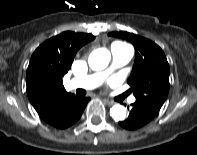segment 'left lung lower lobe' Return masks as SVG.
Returning <instances> with one entry per match:
<instances>
[{"mask_svg": "<svg viewBox=\"0 0 197 155\" xmlns=\"http://www.w3.org/2000/svg\"><path fill=\"white\" fill-rule=\"evenodd\" d=\"M157 114L145 105L135 102L132 104L128 118L125 121L119 122V124L125 129L134 130L150 122Z\"/></svg>", "mask_w": 197, "mask_h": 155, "instance_id": "obj_1", "label": "left lung lower lobe"}]
</instances>
